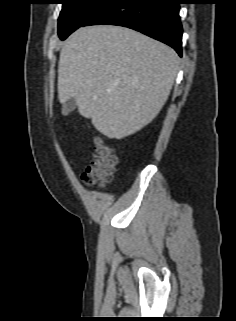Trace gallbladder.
<instances>
[{"instance_id": "gallbladder-1", "label": "gallbladder", "mask_w": 236, "mask_h": 321, "mask_svg": "<svg viewBox=\"0 0 236 321\" xmlns=\"http://www.w3.org/2000/svg\"><path fill=\"white\" fill-rule=\"evenodd\" d=\"M76 105L77 104L74 98L68 99L65 103L62 104V109H61L62 115L66 116L70 112L74 111L76 108Z\"/></svg>"}]
</instances>
